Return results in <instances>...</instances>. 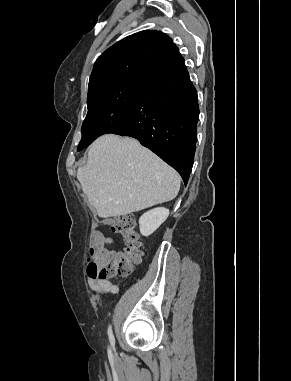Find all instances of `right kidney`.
I'll use <instances>...</instances> for the list:
<instances>
[{
  "mask_svg": "<svg viewBox=\"0 0 291 381\" xmlns=\"http://www.w3.org/2000/svg\"><path fill=\"white\" fill-rule=\"evenodd\" d=\"M169 210L164 207L154 208L144 213L139 219L140 233L150 236L168 218Z\"/></svg>",
  "mask_w": 291,
  "mask_h": 381,
  "instance_id": "ca27d5eb",
  "label": "right kidney"
}]
</instances>
